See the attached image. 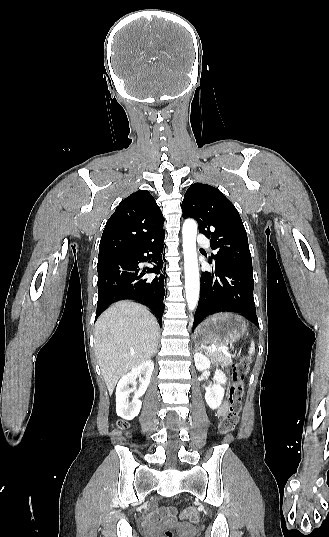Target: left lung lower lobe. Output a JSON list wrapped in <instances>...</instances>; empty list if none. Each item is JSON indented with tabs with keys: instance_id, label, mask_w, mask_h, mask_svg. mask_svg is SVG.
I'll list each match as a JSON object with an SVG mask.
<instances>
[{
	"instance_id": "1",
	"label": "left lung lower lobe",
	"mask_w": 329,
	"mask_h": 537,
	"mask_svg": "<svg viewBox=\"0 0 329 537\" xmlns=\"http://www.w3.org/2000/svg\"><path fill=\"white\" fill-rule=\"evenodd\" d=\"M213 269L212 273L202 272L193 329L204 317L219 311L240 313L259 327L253 298V272L221 262H215Z\"/></svg>"
}]
</instances>
